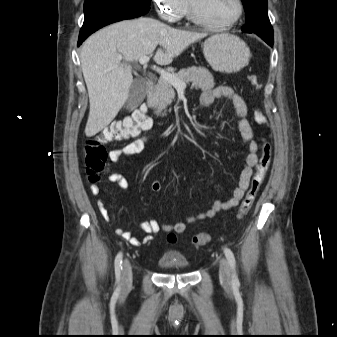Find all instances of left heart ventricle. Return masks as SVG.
<instances>
[{
  "instance_id": "1",
  "label": "left heart ventricle",
  "mask_w": 337,
  "mask_h": 337,
  "mask_svg": "<svg viewBox=\"0 0 337 337\" xmlns=\"http://www.w3.org/2000/svg\"><path fill=\"white\" fill-rule=\"evenodd\" d=\"M198 14L214 23L229 21L236 12L234 0H192Z\"/></svg>"
}]
</instances>
